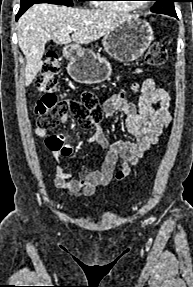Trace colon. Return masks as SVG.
<instances>
[{"label": "colon", "instance_id": "5ec220e1", "mask_svg": "<svg viewBox=\"0 0 193 287\" xmlns=\"http://www.w3.org/2000/svg\"><path fill=\"white\" fill-rule=\"evenodd\" d=\"M145 60L150 66L163 65L167 60V50L164 44L160 42L153 43L146 53ZM59 69L58 55L54 52L49 53L36 79L37 88L41 93L35 107L38 115V127L49 131L57 125L63 114L70 113L77 120L80 127L84 129L92 128L103 117L100 98L92 92H84L81 101H59L56 79Z\"/></svg>", "mask_w": 193, "mask_h": 287}]
</instances>
